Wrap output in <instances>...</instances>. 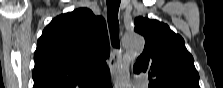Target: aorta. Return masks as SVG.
Listing matches in <instances>:
<instances>
[{
  "label": "aorta",
  "mask_w": 223,
  "mask_h": 88,
  "mask_svg": "<svg viewBox=\"0 0 223 88\" xmlns=\"http://www.w3.org/2000/svg\"><path fill=\"white\" fill-rule=\"evenodd\" d=\"M123 43L126 53L117 67L115 77L116 88L130 87V64L139 54L142 53L145 45L144 38L141 35L134 33L125 36Z\"/></svg>",
  "instance_id": "1"
}]
</instances>
